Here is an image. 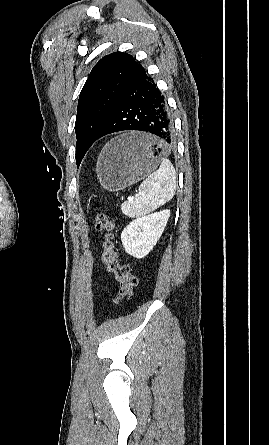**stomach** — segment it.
<instances>
[{"mask_svg":"<svg viewBox=\"0 0 269 445\" xmlns=\"http://www.w3.org/2000/svg\"><path fill=\"white\" fill-rule=\"evenodd\" d=\"M163 141L139 132L122 134L102 149L96 173L109 191L122 190L154 171L164 155Z\"/></svg>","mask_w":269,"mask_h":445,"instance_id":"stomach-1","label":"stomach"}]
</instances>
